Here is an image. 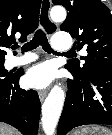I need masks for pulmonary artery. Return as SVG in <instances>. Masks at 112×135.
<instances>
[{"label":"pulmonary artery","mask_w":112,"mask_h":135,"mask_svg":"<svg viewBox=\"0 0 112 135\" xmlns=\"http://www.w3.org/2000/svg\"><path fill=\"white\" fill-rule=\"evenodd\" d=\"M52 46L58 51H67L72 46V40L69 35L65 33H56L52 39ZM37 56L35 54H25L15 57L11 60L12 66H20L35 61Z\"/></svg>","instance_id":"pulmonary-artery-1"}]
</instances>
